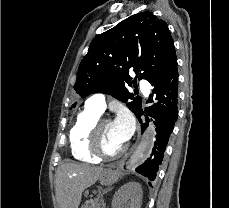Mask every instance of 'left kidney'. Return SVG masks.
<instances>
[{
	"label": "left kidney",
	"mask_w": 229,
	"mask_h": 208,
	"mask_svg": "<svg viewBox=\"0 0 229 208\" xmlns=\"http://www.w3.org/2000/svg\"><path fill=\"white\" fill-rule=\"evenodd\" d=\"M130 200V202H128ZM142 202V188L138 182L124 184L116 192L112 200V208H140Z\"/></svg>",
	"instance_id": "left-kidney-1"
}]
</instances>
